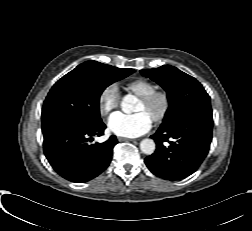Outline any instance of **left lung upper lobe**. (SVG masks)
Listing matches in <instances>:
<instances>
[{
	"instance_id": "left-lung-upper-lobe-1",
	"label": "left lung upper lobe",
	"mask_w": 252,
	"mask_h": 231,
	"mask_svg": "<svg viewBox=\"0 0 252 231\" xmlns=\"http://www.w3.org/2000/svg\"><path fill=\"white\" fill-rule=\"evenodd\" d=\"M141 73L157 82L168 94L169 108L161 127L177 117L192 111H212L210 97L193 77L174 66L141 70Z\"/></svg>"
}]
</instances>
